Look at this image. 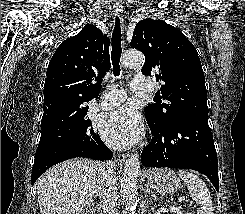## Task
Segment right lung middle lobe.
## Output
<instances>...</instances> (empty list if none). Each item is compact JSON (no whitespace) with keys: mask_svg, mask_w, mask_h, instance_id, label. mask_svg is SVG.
Listing matches in <instances>:
<instances>
[{"mask_svg":"<svg viewBox=\"0 0 245 214\" xmlns=\"http://www.w3.org/2000/svg\"><path fill=\"white\" fill-rule=\"evenodd\" d=\"M86 114L84 113L57 127L43 129L40 142L67 141L77 148L89 146L96 136L91 120L86 117Z\"/></svg>","mask_w":245,"mask_h":214,"instance_id":"obj_1","label":"right lung middle lobe"}]
</instances>
